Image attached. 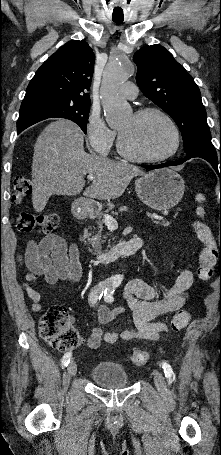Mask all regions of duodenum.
<instances>
[{
	"label": "duodenum",
	"mask_w": 221,
	"mask_h": 455,
	"mask_svg": "<svg viewBox=\"0 0 221 455\" xmlns=\"http://www.w3.org/2000/svg\"><path fill=\"white\" fill-rule=\"evenodd\" d=\"M99 212L100 208L98 206L87 201H81L75 207V214L79 218L94 219L98 216ZM79 241L94 259L102 263L113 262L120 256L133 255L142 247L144 243L143 238L134 237L129 241L120 242L109 249L95 252L88 245L87 233L85 231L80 234Z\"/></svg>",
	"instance_id": "1"
}]
</instances>
